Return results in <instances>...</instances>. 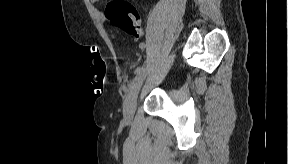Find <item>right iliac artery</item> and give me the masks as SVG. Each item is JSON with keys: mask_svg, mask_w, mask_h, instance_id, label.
<instances>
[{"mask_svg": "<svg viewBox=\"0 0 288 164\" xmlns=\"http://www.w3.org/2000/svg\"><path fill=\"white\" fill-rule=\"evenodd\" d=\"M139 48L140 49H144L145 48V43H140L139 44ZM135 79H133L129 85V89H131L132 85L134 84Z\"/></svg>", "mask_w": 288, "mask_h": 164, "instance_id": "1", "label": "right iliac artery"}]
</instances>
